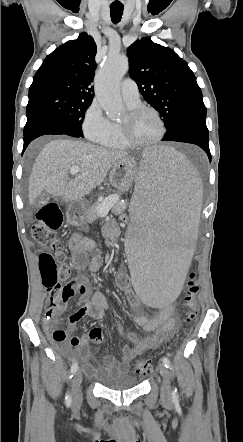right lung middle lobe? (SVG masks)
I'll list each match as a JSON object with an SVG mask.
<instances>
[{"label":"right lung middle lobe","mask_w":243,"mask_h":442,"mask_svg":"<svg viewBox=\"0 0 243 442\" xmlns=\"http://www.w3.org/2000/svg\"><path fill=\"white\" fill-rule=\"evenodd\" d=\"M91 101L62 94V93H44L29 97L26 113L33 111H44L53 114L66 123L75 131L82 134L81 125L84 115Z\"/></svg>","instance_id":"dd1d6c3e"}]
</instances>
